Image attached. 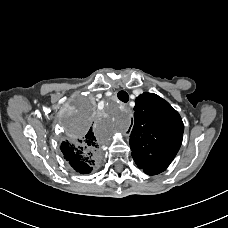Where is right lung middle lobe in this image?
<instances>
[{"instance_id": "dd1d6c3e", "label": "right lung middle lobe", "mask_w": 228, "mask_h": 228, "mask_svg": "<svg viewBox=\"0 0 228 228\" xmlns=\"http://www.w3.org/2000/svg\"><path fill=\"white\" fill-rule=\"evenodd\" d=\"M77 109L78 110L76 112V115L79 123V129L77 130L75 135H79L85 129H87L94 118L93 111L91 110V107L87 101L80 100Z\"/></svg>"}]
</instances>
